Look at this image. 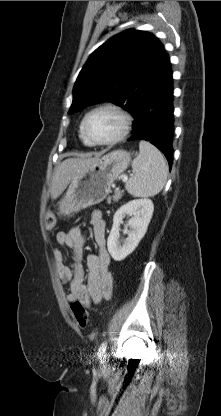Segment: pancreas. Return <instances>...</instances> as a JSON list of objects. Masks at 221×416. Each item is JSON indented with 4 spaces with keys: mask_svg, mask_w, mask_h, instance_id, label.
Here are the masks:
<instances>
[{
    "mask_svg": "<svg viewBox=\"0 0 221 416\" xmlns=\"http://www.w3.org/2000/svg\"><path fill=\"white\" fill-rule=\"evenodd\" d=\"M123 196V193H122V191H116L115 192V194L111 197V196H109L108 198H107V203L108 204H111V200L113 201V202H118L120 199H121V197Z\"/></svg>",
    "mask_w": 221,
    "mask_h": 416,
    "instance_id": "pancreas-1",
    "label": "pancreas"
}]
</instances>
